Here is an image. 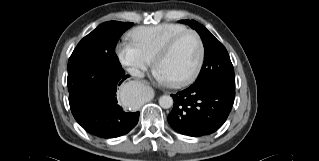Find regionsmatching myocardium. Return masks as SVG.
<instances>
[{
	"instance_id": "f54148a6",
	"label": "myocardium",
	"mask_w": 319,
	"mask_h": 161,
	"mask_svg": "<svg viewBox=\"0 0 319 161\" xmlns=\"http://www.w3.org/2000/svg\"><path fill=\"white\" fill-rule=\"evenodd\" d=\"M187 35H193L196 39L197 45H198V58L197 61L193 67V69L185 74L184 76L177 78V79H173V80H168V83L173 85V86H179V85H183L188 83L189 81H191L193 78H195L204 61V55H205V48H204V43L203 40L201 38V36L199 35V33H197L195 30H191V29H187L175 36H173L172 38H170L163 46L162 48L158 51V53L156 54V56L153 59V65L155 68H157L158 63L164 59L166 56H168L170 54V52L173 50V48L175 47V45L185 36Z\"/></svg>"
}]
</instances>
